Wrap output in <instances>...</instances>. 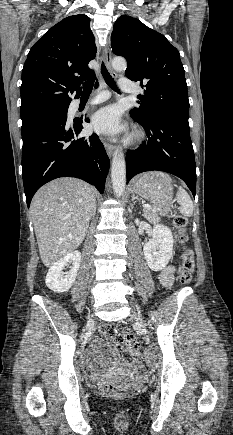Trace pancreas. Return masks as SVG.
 Segmentation results:
<instances>
[{
  "instance_id": "obj_1",
  "label": "pancreas",
  "mask_w": 233,
  "mask_h": 435,
  "mask_svg": "<svg viewBox=\"0 0 233 435\" xmlns=\"http://www.w3.org/2000/svg\"><path fill=\"white\" fill-rule=\"evenodd\" d=\"M143 211H144V216L148 220H150L152 222H157V221L160 220V217H159V215H158L156 210H154L152 208H145Z\"/></svg>"
}]
</instances>
